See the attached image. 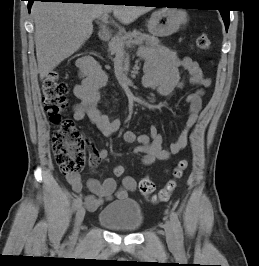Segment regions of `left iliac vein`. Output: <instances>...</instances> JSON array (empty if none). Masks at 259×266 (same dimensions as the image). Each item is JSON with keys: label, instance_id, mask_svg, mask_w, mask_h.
Listing matches in <instances>:
<instances>
[{"label": "left iliac vein", "instance_id": "obj_1", "mask_svg": "<svg viewBox=\"0 0 259 266\" xmlns=\"http://www.w3.org/2000/svg\"><path fill=\"white\" fill-rule=\"evenodd\" d=\"M164 230L166 235V240L169 246L174 247L177 244V236L175 232L174 225L171 221L166 220L164 223Z\"/></svg>", "mask_w": 259, "mask_h": 266}]
</instances>
